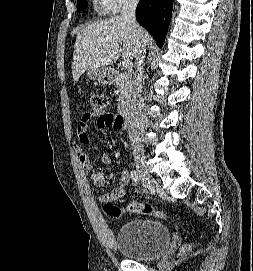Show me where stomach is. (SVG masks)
I'll return each mask as SVG.
<instances>
[{
    "label": "stomach",
    "mask_w": 253,
    "mask_h": 271,
    "mask_svg": "<svg viewBox=\"0 0 253 271\" xmlns=\"http://www.w3.org/2000/svg\"><path fill=\"white\" fill-rule=\"evenodd\" d=\"M87 76L90 79L97 80L99 83L102 84H109L114 82L113 74L111 73L110 69L106 67L89 70L87 71Z\"/></svg>",
    "instance_id": "stomach-1"
}]
</instances>
